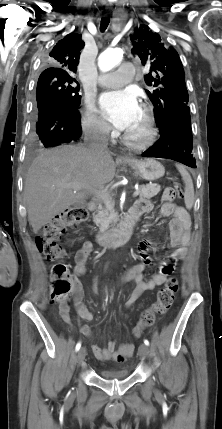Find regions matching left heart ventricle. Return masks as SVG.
I'll use <instances>...</instances> for the list:
<instances>
[{"label": "left heart ventricle", "instance_id": "b2bd125f", "mask_svg": "<svg viewBox=\"0 0 222 429\" xmlns=\"http://www.w3.org/2000/svg\"><path fill=\"white\" fill-rule=\"evenodd\" d=\"M144 126V116H143V112L140 109L139 111V115L138 118L136 119V121L133 123V125L127 130L130 133H138L142 130Z\"/></svg>", "mask_w": 222, "mask_h": 429}]
</instances>
